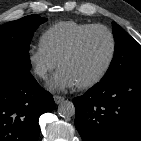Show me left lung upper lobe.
Wrapping results in <instances>:
<instances>
[{
    "mask_svg": "<svg viewBox=\"0 0 141 141\" xmlns=\"http://www.w3.org/2000/svg\"><path fill=\"white\" fill-rule=\"evenodd\" d=\"M112 26L115 52L111 65L101 81H107L128 72L141 71V45L117 23L112 22Z\"/></svg>",
    "mask_w": 141,
    "mask_h": 141,
    "instance_id": "5c2ea615",
    "label": "left lung upper lobe"
}]
</instances>
